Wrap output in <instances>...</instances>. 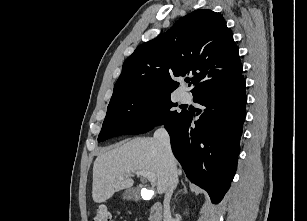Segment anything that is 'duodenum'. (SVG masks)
I'll use <instances>...</instances> for the list:
<instances>
[{
    "label": "duodenum",
    "mask_w": 307,
    "mask_h": 221,
    "mask_svg": "<svg viewBox=\"0 0 307 221\" xmlns=\"http://www.w3.org/2000/svg\"><path fill=\"white\" fill-rule=\"evenodd\" d=\"M163 208L160 202H154L150 208V221H162Z\"/></svg>",
    "instance_id": "duodenum-1"
}]
</instances>
